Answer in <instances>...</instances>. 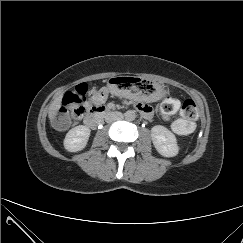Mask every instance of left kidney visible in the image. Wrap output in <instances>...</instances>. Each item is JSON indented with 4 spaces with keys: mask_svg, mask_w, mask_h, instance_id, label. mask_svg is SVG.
I'll return each instance as SVG.
<instances>
[{
    "mask_svg": "<svg viewBox=\"0 0 243 243\" xmlns=\"http://www.w3.org/2000/svg\"><path fill=\"white\" fill-rule=\"evenodd\" d=\"M151 138L154 147L164 157H175L179 152L175 135L166 127L161 125L153 126Z\"/></svg>",
    "mask_w": 243,
    "mask_h": 243,
    "instance_id": "obj_1",
    "label": "left kidney"
}]
</instances>
